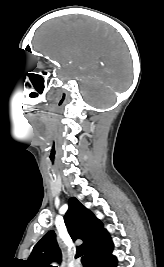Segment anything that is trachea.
I'll list each match as a JSON object with an SVG mask.
<instances>
[{
  "label": "trachea",
  "mask_w": 164,
  "mask_h": 267,
  "mask_svg": "<svg viewBox=\"0 0 164 267\" xmlns=\"http://www.w3.org/2000/svg\"><path fill=\"white\" fill-rule=\"evenodd\" d=\"M81 262H82V264H83L84 267H87V266H88V264H87V259H86L85 256H83V257L81 258Z\"/></svg>",
  "instance_id": "1"
}]
</instances>
